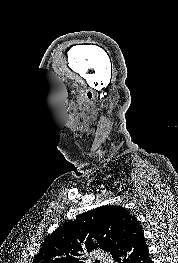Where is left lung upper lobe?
Wrapping results in <instances>:
<instances>
[{
    "label": "left lung upper lobe",
    "instance_id": "left-lung-upper-lobe-1",
    "mask_svg": "<svg viewBox=\"0 0 178 263\" xmlns=\"http://www.w3.org/2000/svg\"><path fill=\"white\" fill-rule=\"evenodd\" d=\"M132 217L113 205L80 214L46 238L33 263H84L85 253L96 248L114 255Z\"/></svg>",
    "mask_w": 178,
    "mask_h": 263
}]
</instances>
